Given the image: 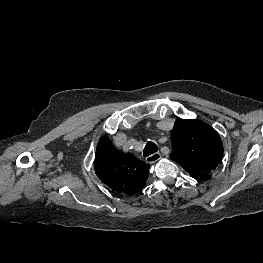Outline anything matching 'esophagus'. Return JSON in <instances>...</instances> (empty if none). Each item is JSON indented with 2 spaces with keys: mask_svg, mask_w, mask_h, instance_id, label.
I'll return each mask as SVG.
<instances>
[{
  "mask_svg": "<svg viewBox=\"0 0 263 263\" xmlns=\"http://www.w3.org/2000/svg\"><path fill=\"white\" fill-rule=\"evenodd\" d=\"M160 159H161V154L159 152H156L146 157V162L149 164H153Z\"/></svg>",
  "mask_w": 263,
  "mask_h": 263,
  "instance_id": "1",
  "label": "esophagus"
}]
</instances>
